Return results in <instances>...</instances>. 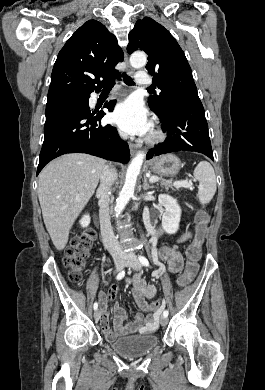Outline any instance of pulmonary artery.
<instances>
[{
	"label": "pulmonary artery",
	"mask_w": 265,
	"mask_h": 390,
	"mask_svg": "<svg viewBox=\"0 0 265 390\" xmlns=\"http://www.w3.org/2000/svg\"><path fill=\"white\" fill-rule=\"evenodd\" d=\"M136 78L137 83L140 85H149L152 83V77L146 70L139 71Z\"/></svg>",
	"instance_id": "e3ab8cb5"
}]
</instances>
